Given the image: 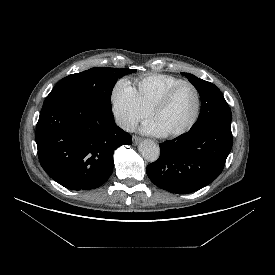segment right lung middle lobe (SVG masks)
Segmentation results:
<instances>
[{"label": "right lung middle lobe", "instance_id": "right-lung-middle-lobe-1", "mask_svg": "<svg viewBox=\"0 0 275 275\" xmlns=\"http://www.w3.org/2000/svg\"><path fill=\"white\" fill-rule=\"evenodd\" d=\"M135 69L91 68L63 78L56 84L45 103L85 100L112 112L111 93L118 78Z\"/></svg>", "mask_w": 275, "mask_h": 275}]
</instances>
